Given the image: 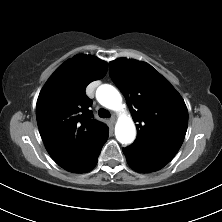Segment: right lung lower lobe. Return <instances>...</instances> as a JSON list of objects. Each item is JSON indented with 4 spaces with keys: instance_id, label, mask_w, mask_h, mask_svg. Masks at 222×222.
I'll return each mask as SVG.
<instances>
[{
    "instance_id": "1",
    "label": "right lung lower lobe",
    "mask_w": 222,
    "mask_h": 222,
    "mask_svg": "<svg viewBox=\"0 0 222 222\" xmlns=\"http://www.w3.org/2000/svg\"><path fill=\"white\" fill-rule=\"evenodd\" d=\"M100 152H101V150H100ZM100 152H99V154H100ZM99 154H98L97 157L93 160V162L88 166V168H87V170H86L85 172H88V171L92 170V169L96 166L97 161H98V156H99ZM82 173H83V172H82Z\"/></svg>"
}]
</instances>
